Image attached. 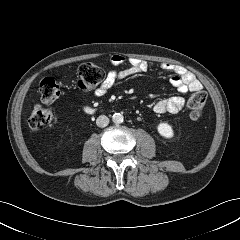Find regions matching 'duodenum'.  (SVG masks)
Masks as SVG:
<instances>
[{
  "label": "duodenum",
  "instance_id": "1",
  "mask_svg": "<svg viewBox=\"0 0 240 240\" xmlns=\"http://www.w3.org/2000/svg\"><path fill=\"white\" fill-rule=\"evenodd\" d=\"M85 111L86 112H91L92 111V108L90 106H85Z\"/></svg>",
  "mask_w": 240,
  "mask_h": 240
}]
</instances>
